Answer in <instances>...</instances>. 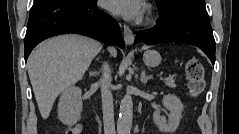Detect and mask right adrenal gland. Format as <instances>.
I'll return each instance as SVG.
<instances>
[{"label": "right adrenal gland", "instance_id": "2a0ac1e0", "mask_svg": "<svg viewBox=\"0 0 239 134\" xmlns=\"http://www.w3.org/2000/svg\"><path fill=\"white\" fill-rule=\"evenodd\" d=\"M89 75L96 77L99 75V72H89Z\"/></svg>", "mask_w": 239, "mask_h": 134}]
</instances>
